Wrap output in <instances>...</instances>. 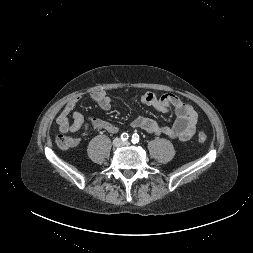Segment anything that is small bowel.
<instances>
[{
    "mask_svg": "<svg viewBox=\"0 0 253 253\" xmlns=\"http://www.w3.org/2000/svg\"><path fill=\"white\" fill-rule=\"evenodd\" d=\"M90 97L103 110L108 111L111 108V98L105 91L93 92ZM79 101L80 97L78 96L69 100L56 119L57 127L61 133L72 134L70 135V147H76L81 143V136L77 134L80 129L84 131L102 129L109 133L118 131V127L108 121L95 118L85 121L83 115L75 110ZM141 102L153 107L160 113L174 111L176 120L172 126H163L149 117L138 116L132 121V127L142 129L155 136H165L181 142L190 140L194 135L198 115L190 105L183 102L176 95L167 93L158 97L152 92H145L141 95Z\"/></svg>",
    "mask_w": 253,
    "mask_h": 253,
    "instance_id": "obj_1",
    "label": "small bowel"
}]
</instances>
